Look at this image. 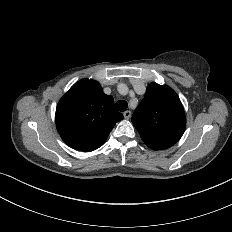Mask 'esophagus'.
<instances>
[{"instance_id":"34e87169","label":"esophagus","mask_w":232,"mask_h":232,"mask_svg":"<svg viewBox=\"0 0 232 232\" xmlns=\"http://www.w3.org/2000/svg\"><path fill=\"white\" fill-rule=\"evenodd\" d=\"M131 111L127 110L123 113L125 119H129L131 117Z\"/></svg>"}]
</instances>
